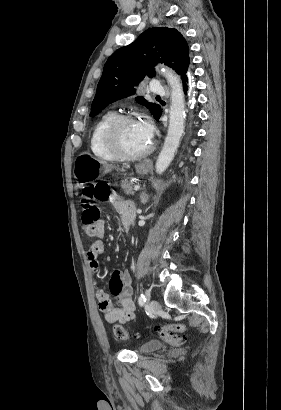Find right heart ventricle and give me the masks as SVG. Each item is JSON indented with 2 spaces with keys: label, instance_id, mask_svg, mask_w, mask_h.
<instances>
[{
  "label": "right heart ventricle",
  "instance_id": "1",
  "mask_svg": "<svg viewBox=\"0 0 281 410\" xmlns=\"http://www.w3.org/2000/svg\"><path fill=\"white\" fill-rule=\"evenodd\" d=\"M116 117L112 111L104 113L94 124L89 138V147L92 154L101 160L115 161L118 158L111 153L104 143V132L110 122Z\"/></svg>",
  "mask_w": 281,
  "mask_h": 410
}]
</instances>
